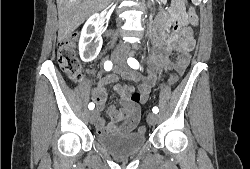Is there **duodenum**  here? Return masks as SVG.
I'll return each instance as SVG.
<instances>
[{
	"mask_svg": "<svg viewBox=\"0 0 250 169\" xmlns=\"http://www.w3.org/2000/svg\"><path fill=\"white\" fill-rule=\"evenodd\" d=\"M106 36H107V38H109V36H110V33L108 32V33L106 34Z\"/></svg>",
	"mask_w": 250,
	"mask_h": 169,
	"instance_id": "duodenum-1",
	"label": "duodenum"
}]
</instances>
